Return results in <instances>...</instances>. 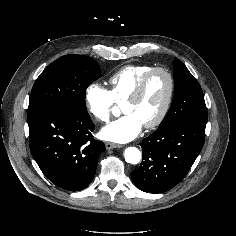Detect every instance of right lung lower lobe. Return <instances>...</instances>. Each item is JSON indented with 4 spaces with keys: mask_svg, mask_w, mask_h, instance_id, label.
I'll return each mask as SVG.
<instances>
[{
    "mask_svg": "<svg viewBox=\"0 0 236 236\" xmlns=\"http://www.w3.org/2000/svg\"><path fill=\"white\" fill-rule=\"evenodd\" d=\"M31 154L43 174L67 191H79L93 180L103 142L93 139L88 113L40 108L28 111Z\"/></svg>",
    "mask_w": 236,
    "mask_h": 236,
    "instance_id": "1",
    "label": "right lung lower lobe"
}]
</instances>
